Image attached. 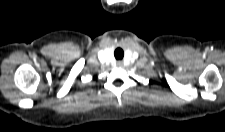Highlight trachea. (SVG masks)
I'll use <instances>...</instances> for the list:
<instances>
[{
    "mask_svg": "<svg viewBox=\"0 0 225 132\" xmlns=\"http://www.w3.org/2000/svg\"><path fill=\"white\" fill-rule=\"evenodd\" d=\"M114 55L116 59H122L124 56V52L121 48H117L114 52Z\"/></svg>",
    "mask_w": 225,
    "mask_h": 132,
    "instance_id": "obj_1",
    "label": "trachea"
}]
</instances>
